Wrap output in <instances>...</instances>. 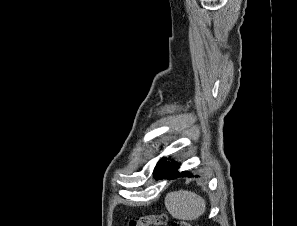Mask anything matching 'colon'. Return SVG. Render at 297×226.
Listing matches in <instances>:
<instances>
[{
  "label": "colon",
  "instance_id": "5ec220e1",
  "mask_svg": "<svg viewBox=\"0 0 297 226\" xmlns=\"http://www.w3.org/2000/svg\"><path fill=\"white\" fill-rule=\"evenodd\" d=\"M167 217L163 214L141 216L129 222V226H166ZM171 226H191L187 221H174Z\"/></svg>",
  "mask_w": 297,
  "mask_h": 226
}]
</instances>
